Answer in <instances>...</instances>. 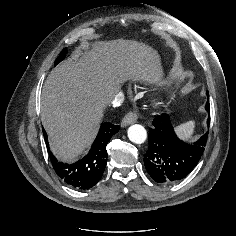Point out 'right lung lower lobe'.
Listing matches in <instances>:
<instances>
[{"mask_svg":"<svg viewBox=\"0 0 236 236\" xmlns=\"http://www.w3.org/2000/svg\"><path fill=\"white\" fill-rule=\"evenodd\" d=\"M119 131V125L102 123L98 135L89 153L73 164L58 161L50 152L45 130L43 135L56 174L69 186L75 189H89L101 179L107 162L106 146L110 138Z\"/></svg>","mask_w":236,"mask_h":236,"instance_id":"98d812e1","label":"right lung lower lobe"}]
</instances>
